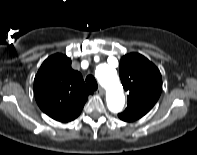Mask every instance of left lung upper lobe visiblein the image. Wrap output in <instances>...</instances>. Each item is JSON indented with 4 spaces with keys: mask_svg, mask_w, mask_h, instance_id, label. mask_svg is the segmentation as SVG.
<instances>
[{
    "mask_svg": "<svg viewBox=\"0 0 197 155\" xmlns=\"http://www.w3.org/2000/svg\"><path fill=\"white\" fill-rule=\"evenodd\" d=\"M119 72L129 95L128 106L118 117L125 122L135 121L146 115L159 99L162 77L158 68L138 53L123 56Z\"/></svg>",
    "mask_w": 197,
    "mask_h": 155,
    "instance_id": "5c2ea615",
    "label": "left lung upper lobe"
}]
</instances>
